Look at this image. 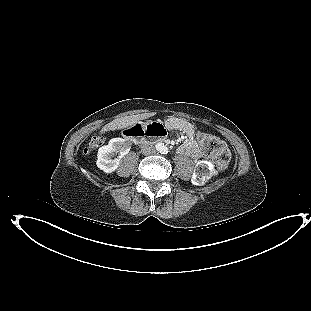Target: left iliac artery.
Returning a JSON list of instances; mask_svg holds the SVG:
<instances>
[{"label": "left iliac artery", "instance_id": "44dca946", "mask_svg": "<svg viewBox=\"0 0 311 311\" xmlns=\"http://www.w3.org/2000/svg\"><path fill=\"white\" fill-rule=\"evenodd\" d=\"M162 154H167L168 153V148L167 147H163L161 150Z\"/></svg>", "mask_w": 311, "mask_h": 311}]
</instances>
